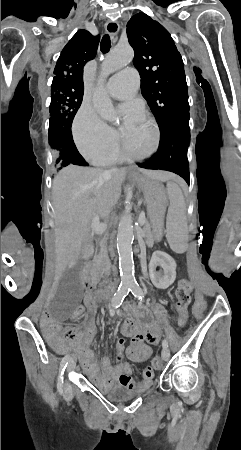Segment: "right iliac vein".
I'll list each match as a JSON object with an SVG mask.
<instances>
[{"label":"right iliac vein","instance_id":"obj_1","mask_svg":"<svg viewBox=\"0 0 241 450\" xmlns=\"http://www.w3.org/2000/svg\"><path fill=\"white\" fill-rule=\"evenodd\" d=\"M75 366H76L75 360H74V359H71V360L69 361V364H68V367H69L68 370L73 369ZM64 391H65V393H66L67 395H69V394L71 393V384H70L69 381H66V382H65V385H64Z\"/></svg>","mask_w":241,"mask_h":450}]
</instances>
